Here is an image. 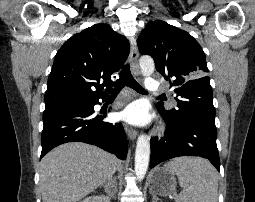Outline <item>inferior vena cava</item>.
<instances>
[{
  "mask_svg": "<svg viewBox=\"0 0 255 202\" xmlns=\"http://www.w3.org/2000/svg\"><path fill=\"white\" fill-rule=\"evenodd\" d=\"M105 189L108 194H110L111 196L114 195V193L116 191H115V185H114V182L112 181V179L105 183Z\"/></svg>",
  "mask_w": 255,
  "mask_h": 202,
  "instance_id": "obj_1",
  "label": "inferior vena cava"
}]
</instances>
